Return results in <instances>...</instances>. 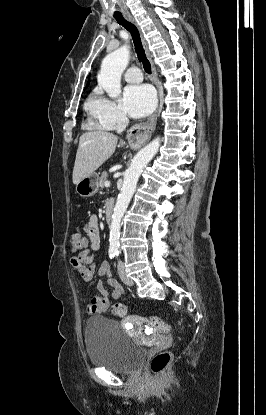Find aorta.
<instances>
[{
	"label": "aorta",
	"instance_id": "1",
	"mask_svg": "<svg viewBox=\"0 0 266 415\" xmlns=\"http://www.w3.org/2000/svg\"><path fill=\"white\" fill-rule=\"evenodd\" d=\"M129 58V49L123 46L109 53L102 61L98 83L111 98H117L121 94V75L128 65ZM159 147L160 138L157 137L135 155L130 167L125 172L123 186L114 207L110 224V250L118 251L122 218L134 194L143 168L156 155Z\"/></svg>",
	"mask_w": 266,
	"mask_h": 415
}]
</instances>
